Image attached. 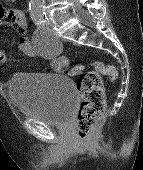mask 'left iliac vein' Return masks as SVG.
Segmentation results:
<instances>
[{"label": "left iliac vein", "instance_id": "obj_1", "mask_svg": "<svg viewBox=\"0 0 143 170\" xmlns=\"http://www.w3.org/2000/svg\"><path fill=\"white\" fill-rule=\"evenodd\" d=\"M47 24L48 25H51V20L48 18V20H47Z\"/></svg>", "mask_w": 143, "mask_h": 170}]
</instances>
